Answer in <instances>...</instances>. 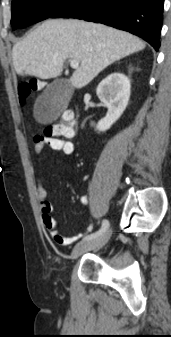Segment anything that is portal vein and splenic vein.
Listing matches in <instances>:
<instances>
[{"label": "portal vein and splenic vein", "mask_w": 171, "mask_h": 337, "mask_svg": "<svg viewBox=\"0 0 171 337\" xmlns=\"http://www.w3.org/2000/svg\"><path fill=\"white\" fill-rule=\"evenodd\" d=\"M70 66L73 68V69H77L79 67V62L76 61V60H71L70 61Z\"/></svg>", "instance_id": "1"}]
</instances>
